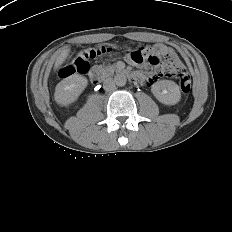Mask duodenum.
<instances>
[{"instance_id":"410a0bca","label":"duodenum","mask_w":232,"mask_h":232,"mask_svg":"<svg viewBox=\"0 0 232 232\" xmlns=\"http://www.w3.org/2000/svg\"><path fill=\"white\" fill-rule=\"evenodd\" d=\"M120 74H124L123 70L119 71ZM129 77L132 79V81H136L137 80V76L136 75H131L129 74ZM89 78L91 79V81L95 84H99L102 81V72L99 68L97 67H93L89 73Z\"/></svg>"}]
</instances>
